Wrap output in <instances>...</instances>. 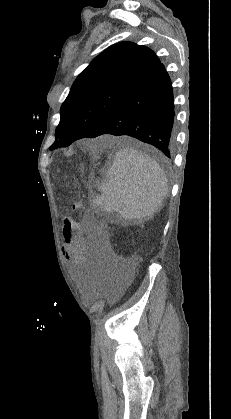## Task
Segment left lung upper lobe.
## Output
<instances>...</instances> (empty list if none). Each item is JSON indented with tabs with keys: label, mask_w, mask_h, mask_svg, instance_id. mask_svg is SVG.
Wrapping results in <instances>:
<instances>
[{
	"label": "left lung upper lobe",
	"mask_w": 231,
	"mask_h": 419,
	"mask_svg": "<svg viewBox=\"0 0 231 419\" xmlns=\"http://www.w3.org/2000/svg\"><path fill=\"white\" fill-rule=\"evenodd\" d=\"M159 64L152 50L132 42L104 50L73 83L61 106L57 140L49 149L88 138Z\"/></svg>",
	"instance_id": "left-lung-upper-lobe-1"
}]
</instances>
